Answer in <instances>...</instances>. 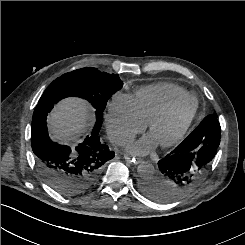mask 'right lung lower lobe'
Listing matches in <instances>:
<instances>
[{
  "instance_id": "98d812e1",
  "label": "right lung lower lobe",
  "mask_w": 245,
  "mask_h": 245,
  "mask_svg": "<svg viewBox=\"0 0 245 245\" xmlns=\"http://www.w3.org/2000/svg\"><path fill=\"white\" fill-rule=\"evenodd\" d=\"M54 104L38 103L32 118L31 145L38 170L47 184L66 197H73L91 188L105 162L114 152L100 142L99 132L92 131L76 147L53 142L47 130L46 118Z\"/></svg>"
}]
</instances>
